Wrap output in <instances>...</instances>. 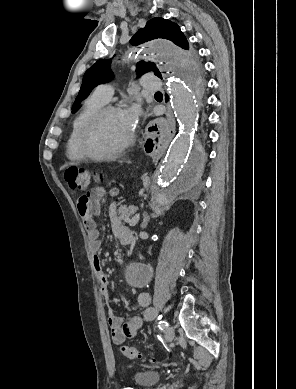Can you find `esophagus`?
Returning <instances> with one entry per match:
<instances>
[{
  "instance_id": "34e87169",
  "label": "esophagus",
  "mask_w": 296,
  "mask_h": 389,
  "mask_svg": "<svg viewBox=\"0 0 296 389\" xmlns=\"http://www.w3.org/2000/svg\"><path fill=\"white\" fill-rule=\"evenodd\" d=\"M168 114L172 117V111L169 109ZM145 135L149 139H158L164 134L168 127L167 117L163 116L161 120L154 121L151 118H147L145 122Z\"/></svg>"
}]
</instances>
